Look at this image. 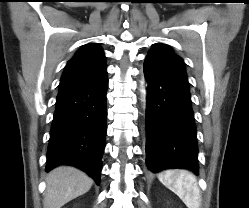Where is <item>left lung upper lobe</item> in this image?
<instances>
[{
	"label": "left lung upper lobe",
	"mask_w": 249,
	"mask_h": 208,
	"mask_svg": "<svg viewBox=\"0 0 249 208\" xmlns=\"http://www.w3.org/2000/svg\"><path fill=\"white\" fill-rule=\"evenodd\" d=\"M146 58L165 63L186 72L183 59L174 54L166 44L157 43L153 45Z\"/></svg>",
	"instance_id": "obj_1"
}]
</instances>
